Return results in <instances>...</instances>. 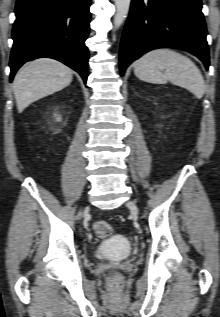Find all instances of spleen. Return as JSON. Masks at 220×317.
I'll return each instance as SVG.
<instances>
[{
    "instance_id": "spleen-1",
    "label": "spleen",
    "mask_w": 220,
    "mask_h": 317,
    "mask_svg": "<svg viewBox=\"0 0 220 317\" xmlns=\"http://www.w3.org/2000/svg\"><path fill=\"white\" fill-rule=\"evenodd\" d=\"M134 73L142 81L165 84L168 81L201 98L205 82L201 71L188 57L171 49L152 50L134 63Z\"/></svg>"
}]
</instances>
